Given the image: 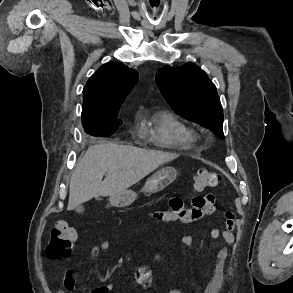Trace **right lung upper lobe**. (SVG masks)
<instances>
[{
	"label": "right lung upper lobe",
	"mask_w": 293,
	"mask_h": 293,
	"mask_svg": "<svg viewBox=\"0 0 293 293\" xmlns=\"http://www.w3.org/2000/svg\"><path fill=\"white\" fill-rule=\"evenodd\" d=\"M137 80L138 72L121 63L102 65L84 87L82 116L118 112Z\"/></svg>",
	"instance_id": "cb5924a9"
}]
</instances>
